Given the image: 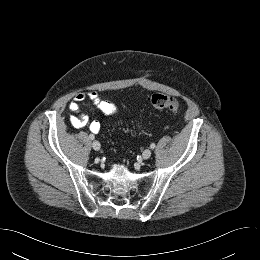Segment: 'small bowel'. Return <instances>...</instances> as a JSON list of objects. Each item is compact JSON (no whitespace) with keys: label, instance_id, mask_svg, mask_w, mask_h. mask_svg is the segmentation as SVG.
I'll list each match as a JSON object with an SVG mask.
<instances>
[{"label":"small bowel","instance_id":"obj_1","mask_svg":"<svg viewBox=\"0 0 260 260\" xmlns=\"http://www.w3.org/2000/svg\"><path fill=\"white\" fill-rule=\"evenodd\" d=\"M86 100L91 101L97 108L108 115H114L118 113L119 107L108 100H105L96 91H87L84 93H78L69 102L68 108L71 111L69 116V122L74 128H83L88 126L93 133H99L101 125L98 121H89L87 116L82 112L80 104Z\"/></svg>","mask_w":260,"mask_h":260}]
</instances>
